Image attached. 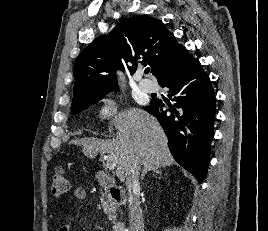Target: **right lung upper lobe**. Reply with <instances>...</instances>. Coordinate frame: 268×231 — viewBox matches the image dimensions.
Wrapping results in <instances>:
<instances>
[{
  "instance_id": "cb5924a9",
  "label": "right lung upper lobe",
  "mask_w": 268,
  "mask_h": 231,
  "mask_svg": "<svg viewBox=\"0 0 268 231\" xmlns=\"http://www.w3.org/2000/svg\"><path fill=\"white\" fill-rule=\"evenodd\" d=\"M140 60V61H139ZM164 23L146 15L122 20L107 36H99L77 57L72 104L104 97L116 86V69L136 71L148 64L158 82L194 61Z\"/></svg>"
}]
</instances>
